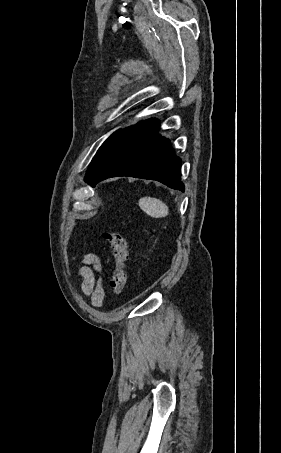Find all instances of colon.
Instances as JSON below:
<instances>
[{
    "label": "colon",
    "mask_w": 281,
    "mask_h": 453,
    "mask_svg": "<svg viewBox=\"0 0 281 453\" xmlns=\"http://www.w3.org/2000/svg\"><path fill=\"white\" fill-rule=\"evenodd\" d=\"M113 256V268L110 274V291L114 297L121 296L126 289L127 242L120 233H106Z\"/></svg>",
    "instance_id": "colon-1"
}]
</instances>
